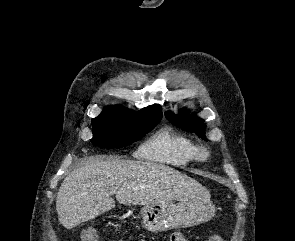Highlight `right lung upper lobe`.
I'll list each match as a JSON object with an SVG mask.
<instances>
[{
    "instance_id": "1",
    "label": "right lung upper lobe",
    "mask_w": 295,
    "mask_h": 241,
    "mask_svg": "<svg viewBox=\"0 0 295 241\" xmlns=\"http://www.w3.org/2000/svg\"><path fill=\"white\" fill-rule=\"evenodd\" d=\"M140 111H143V112H146V113H148L150 115H153V116H157V117H161L162 118L161 107L159 105H157V104H154V105L148 106L146 108H143Z\"/></svg>"
}]
</instances>
